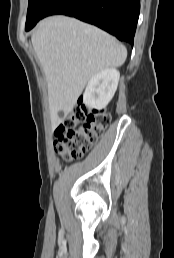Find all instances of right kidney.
Returning <instances> with one entry per match:
<instances>
[{
  "instance_id": "obj_1",
  "label": "right kidney",
  "mask_w": 174,
  "mask_h": 258,
  "mask_svg": "<svg viewBox=\"0 0 174 258\" xmlns=\"http://www.w3.org/2000/svg\"><path fill=\"white\" fill-rule=\"evenodd\" d=\"M120 73L107 68L91 77L83 94V101L90 109L101 110L113 98L118 86Z\"/></svg>"
}]
</instances>
